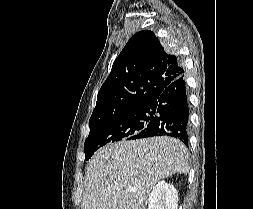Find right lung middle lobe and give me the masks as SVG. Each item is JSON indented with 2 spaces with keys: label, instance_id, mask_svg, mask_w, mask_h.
<instances>
[{
  "label": "right lung middle lobe",
  "instance_id": "right-lung-middle-lobe-1",
  "mask_svg": "<svg viewBox=\"0 0 253 209\" xmlns=\"http://www.w3.org/2000/svg\"><path fill=\"white\" fill-rule=\"evenodd\" d=\"M153 117L154 111L146 104L113 116L90 120V133L84 143L85 159H90L98 149L109 142L130 140L140 133Z\"/></svg>",
  "mask_w": 253,
  "mask_h": 209
}]
</instances>
